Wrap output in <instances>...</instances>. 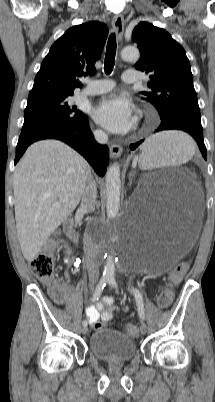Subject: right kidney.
I'll return each instance as SVG.
<instances>
[{
  "label": "right kidney",
  "instance_id": "1",
  "mask_svg": "<svg viewBox=\"0 0 215 402\" xmlns=\"http://www.w3.org/2000/svg\"><path fill=\"white\" fill-rule=\"evenodd\" d=\"M67 252H68V253H70V252H71L69 248L67 249Z\"/></svg>",
  "mask_w": 215,
  "mask_h": 402
}]
</instances>
